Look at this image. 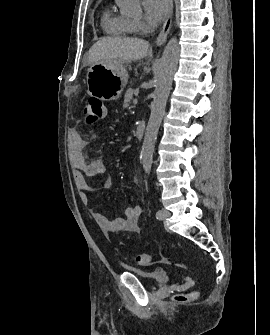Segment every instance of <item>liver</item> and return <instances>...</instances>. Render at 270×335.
I'll list each match as a JSON object with an SVG mask.
<instances>
[{"label":"liver","mask_w":270,"mask_h":335,"mask_svg":"<svg viewBox=\"0 0 270 335\" xmlns=\"http://www.w3.org/2000/svg\"><path fill=\"white\" fill-rule=\"evenodd\" d=\"M149 42L139 38H101L88 52L89 64H105L115 68L121 60L135 62L147 56Z\"/></svg>","instance_id":"6515ba94"}]
</instances>
